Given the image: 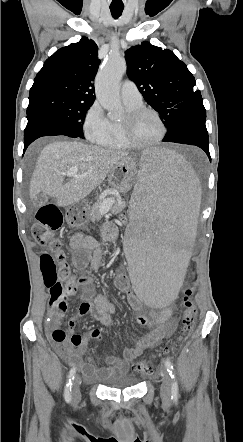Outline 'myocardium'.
Returning a JSON list of instances; mask_svg holds the SVG:
<instances>
[{
	"label": "myocardium",
	"instance_id": "myocardium-1",
	"mask_svg": "<svg viewBox=\"0 0 243 442\" xmlns=\"http://www.w3.org/2000/svg\"><path fill=\"white\" fill-rule=\"evenodd\" d=\"M145 113H152L153 115H155V117L157 118V120L160 124L161 133L157 137V139H155L151 142H145V143L137 142L133 139V136H132L133 127H134V124L137 121V119ZM121 132H122V137H123L125 143L129 147L150 148V147H154V146L158 145L159 143H161L163 141V139L165 138V136L167 134V127H166L163 117L156 109H154L152 107H148V106H140V107H137V108L127 112V114L125 115V117L123 118V120L121 122Z\"/></svg>",
	"mask_w": 243,
	"mask_h": 442
}]
</instances>
